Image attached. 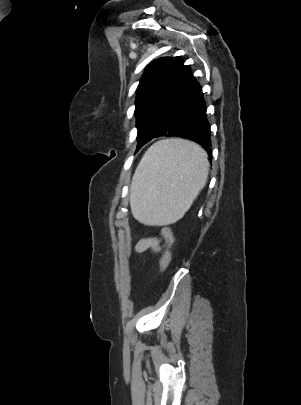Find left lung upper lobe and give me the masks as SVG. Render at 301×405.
<instances>
[{
	"label": "left lung upper lobe",
	"mask_w": 301,
	"mask_h": 405,
	"mask_svg": "<svg viewBox=\"0 0 301 405\" xmlns=\"http://www.w3.org/2000/svg\"><path fill=\"white\" fill-rule=\"evenodd\" d=\"M191 71L179 60L164 57L151 62L141 77L136 96L137 140L153 134L183 95Z\"/></svg>",
	"instance_id": "1"
}]
</instances>
